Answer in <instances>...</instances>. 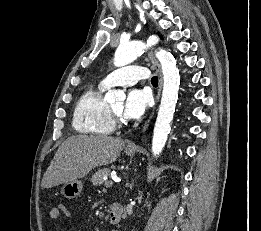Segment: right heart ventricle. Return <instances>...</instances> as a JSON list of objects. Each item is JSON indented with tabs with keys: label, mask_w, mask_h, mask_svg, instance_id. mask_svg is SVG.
Instances as JSON below:
<instances>
[{
	"label": "right heart ventricle",
	"mask_w": 261,
	"mask_h": 231,
	"mask_svg": "<svg viewBox=\"0 0 261 231\" xmlns=\"http://www.w3.org/2000/svg\"><path fill=\"white\" fill-rule=\"evenodd\" d=\"M105 89L107 87L103 85L91 88L78 99L72 118V126L76 132L107 136L114 131L109 106L103 98Z\"/></svg>",
	"instance_id": "right-heart-ventricle-1"
}]
</instances>
